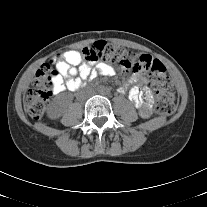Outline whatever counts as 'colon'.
I'll return each mask as SVG.
<instances>
[{
    "instance_id": "colon-1",
    "label": "colon",
    "mask_w": 207,
    "mask_h": 207,
    "mask_svg": "<svg viewBox=\"0 0 207 207\" xmlns=\"http://www.w3.org/2000/svg\"><path fill=\"white\" fill-rule=\"evenodd\" d=\"M84 56L88 62L104 60L117 63L125 72L148 71L149 86L155 93V109L160 114L170 115L175 110V96L172 82L166 73L162 62L153 59L148 52L136 54L115 43L98 41L84 49ZM52 62L45 63L37 71L32 86L27 91L25 109L28 116L34 120L40 119L52 94L53 82L58 74Z\"/></svg>"
}]
</instances>
